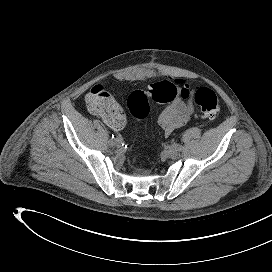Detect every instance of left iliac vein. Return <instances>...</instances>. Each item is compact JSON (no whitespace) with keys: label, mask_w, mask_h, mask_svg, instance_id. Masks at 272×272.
Masks as SVG:
<instances>
[{"label":"left iliac vein","mask_w":272,"mask_h":272,"mask_svg":"<svg viewBox=\"0 0 272 272\" xmlns=\"http://www.w3.org/2000/svg\"><path fill=\"white\" fill-rule=\"evenodd\" d=\"M166 154L169 156V157H175L177 156V152L176 150L173 148V147H170L166 150Z\"/></svg>","instance_id":"obj_1"}]
</instances>
